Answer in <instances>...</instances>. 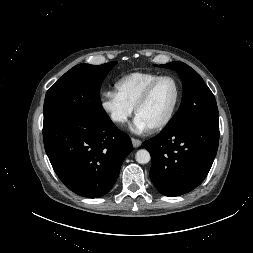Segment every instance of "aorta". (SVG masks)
Segmentation results:
<instances>
[{"label": "aorta", "mask_w": 253, "mask_h": 253, "mask_svg": "<svg viewBox=\"0 0 253 253\" xmlns=\"http://www.w3.org/2000/svg\"><path fill=\"white\" fill-rule=\"evenodd\" d=\"M135 158L139 164H146L150 161L151 156L146 149H141L136 152Z\"/></svg>", "instance_id": "1"}]
</instances>
